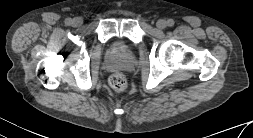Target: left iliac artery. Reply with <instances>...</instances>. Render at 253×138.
<instances>
[{"label": "left iliac artery", "mask_w": 253, "mask_h": 138, "mask_svg": "<svg viewBox=\"0 0 253 138\" xmlns=\"http://www.w3.org/2000/svg\"><path fill=\"white\" fill-rule=\"evenodd\" d=\"M167 24H168L169 27H172V26L174 25L173 19H169V20L167 21Z\"/></svg>", "instance_id": "obj_1"}]
</instances>
